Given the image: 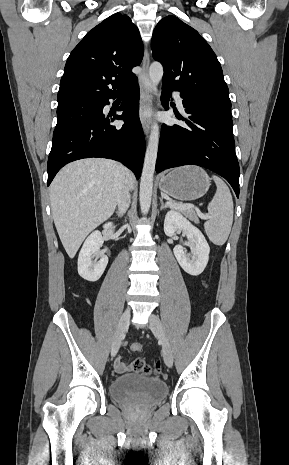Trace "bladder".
<instances>
[{
	"label": "bladder",
	"instance_id": "31cf9c89",
	"mask_svg": "<svg viewBox=\"0 0 289 465\" xmlns=\"http://www.w3.org/2000/svg\"><path fill=\"white\" fill-rule=\"evenodd\" d=\"M111 397L121 403L132 400L155 404L168 394L165 382L140 374L123 375L114 379L109 387Z\"/></svg>",
	"mask_w": 289,
	"mask_h": 465
}]
</instances>
